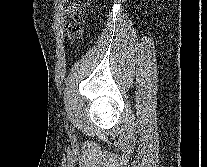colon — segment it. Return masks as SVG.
<instances>
[{
  "instance_id": "1",
  "label": "colon",
  "mask_w": 207,
  "mask_h": 167,
  "mask_svg": "<svg viewBox=\"0 0 207 167\" xmlns=\"http://www.w3.org/2000/svg\"><path fill=\"white\" fill-rule=\"evenodd\" d=\"M91 0H68L66 15V30L70 38L81 37L82 25L86 17L87 9Z\"/></svg>"
}]
</instances>
